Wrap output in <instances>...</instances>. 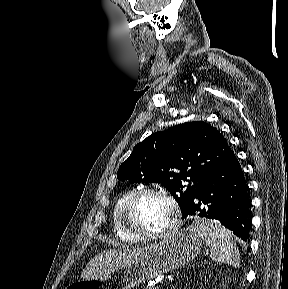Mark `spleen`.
<instances>
[{
	"label": "spleen",
	"mask_w": 288,
	"mask_h": 289,
	"mask_svg": "<svg viewBox=\"0 0 288 289\" xmlns=\"http://www.w3.org/2000/svg\"><path fill=\"white\" fill-rule=\"evenodd\" d=\"M193 229L210 248L213 261L230 264L234 268L240 266L238 247L224 226L213 220L197 219Z\"/></svg>",
	"instance_id": "spleen-1"
}]
</instances>
